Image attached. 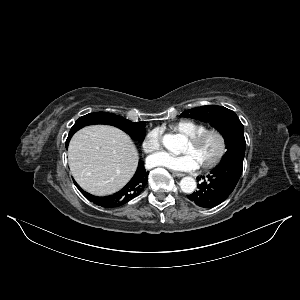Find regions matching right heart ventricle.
<instances>
[{
	"label": "right heart ventricle",
	"instance_id": "1",
	"mask_svg": "<svg viewBox=\"0 0 300 300\" xmlns=\"http://www.w3.org/2000/svg\"><path fill=\"white\" fill-rule=\"evenodd\" d=\"M204 128H206L205 124L189 119L179 120L172 125V129L175 132L181 133L186 137L195 135Z\"/></svg>",
	"mask_w": 300,
	"mask_h": 300
}]
</instances>
